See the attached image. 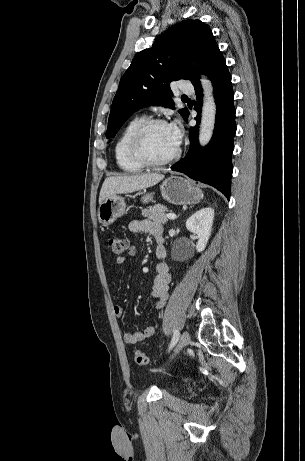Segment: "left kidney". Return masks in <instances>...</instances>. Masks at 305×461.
I'll return each mask as SVG.
<instances>
[{"label": "left kidney", "mask_w": 305, "mask_h": 461, "mask_svg": "<svg viewBox=\"0 0 305 461\" xmlns=\"http://www.w3.org/2000/svg\"><path fill=\"white\" fill-rule=\"evenodd\" d=\"M214 220V209L211 207L202 208L195 212L187 221L186 228L197 235V252H202L208 243L211 235Z\"/></svg>", "instance_id": "1"}]
</instances>
